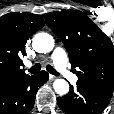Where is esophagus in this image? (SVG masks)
<instances>
[{"instance_id":"esophagus-1","label":"esophagus","mask_w":114,"mask_h":114,"mask_svg":"<svg viewBox=\"0 0 114 114\" xmlns=\"http://www.w3.org/2000/svg\"><path fill=\"white\" fill-rule=\"evenodd\" d=\"M49 78H50V80H55V79H57V76H54V75L50 74Z\"/></svg>"}]
</instances>
